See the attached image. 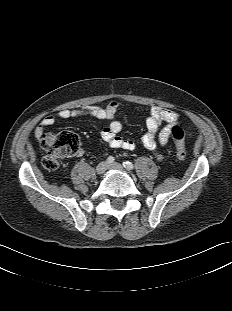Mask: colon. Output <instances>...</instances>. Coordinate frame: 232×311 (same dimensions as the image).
I'll return each instance as SVG.
<instances>
[{"label":"colon","instance_id":"1","mask_svg":"<svg viewBox=\"0 0 232 311\" xmlns=\"http://www.w3.org/2000/svg\"><path fill=\"white\" fill-rule=\"evenodd\" d=\"M171 137L175 147L176 156L184 159L187 150L184 144V131L179 126L171 128ZM41 148L44 151L43 165L48 170L59 168L62 162L74 155L79 148V138L69 131L49 134L41 140Z\"/></svg>","mask_w":232,"mask_h":311}]
</instances>
